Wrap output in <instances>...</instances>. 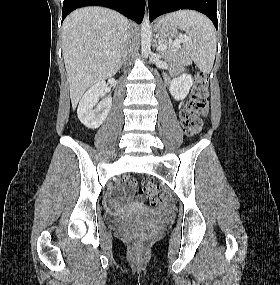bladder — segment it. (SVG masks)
Returning a JSON list of instances; mask_svg holds the SVG:
<instances>
[{
	"label": "bladder",
	"mask_w": 280,
	"mask_h": 285,
	"mask_svg": "<svg viewBox=\"0 0 280 285\" xmlns=\"http://www.w3.org/2000/svg\"><path fill=\"white\" fill-rule=\"evenodd\" d=\"M108 220H109L110 223L120 222V218L115 217V216H108Z\"/></svg>",
	"instance_id": "bladder-1"
}]
</instances>
